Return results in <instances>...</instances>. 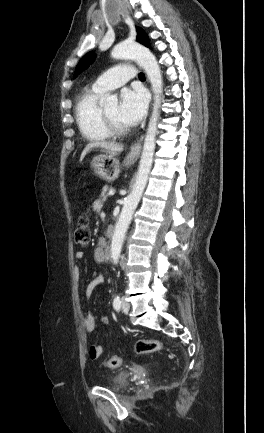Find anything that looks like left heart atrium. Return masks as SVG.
<instances>
[{
    "label": "left heart atrium",
    "mask_w": 264,
    "mask_h": 433,
    "mask_svg": "<svg viewBox=\"0 0 264 433\" xmlns=\"http://www.w3.org/2000/svg\"><path fill=\"white\" fill-rule=\"evenodd\" d=\"M147 104L148 98L143 90H124L118 106L119 119L127 126L138 124L146 114Z\"/></svg>",
    "instance_id": "39dd6f15"
}]
</instances>
